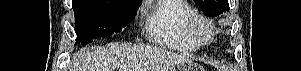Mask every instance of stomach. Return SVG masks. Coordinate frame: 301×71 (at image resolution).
<instances>
[{
    "label": "stomach",
    "instance_id": "0dacf381",
    "mask_svg": "<svg viewBox=\"0 0 301 71\" xmlns=\"http://www.w3.org/2000/svg\"><path fill=\"white\" fill-rule=\"evenodd\" d=\"M174 71H202V68L194 62H186L177 67Z\"/></svg>",
    "mask_w": 301,
    "mask_h": 71
}]
</instances>
